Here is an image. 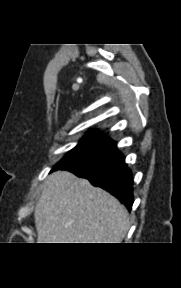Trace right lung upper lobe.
<instances>
[{
	"instance_id": "1",
	"label": "right lung upper lobe",
	"mask_w": 181,
	"mask_h": 288,
	"mask_svg": "<svg viewBox=\"0 0 181 288\" xmlns=\"http://www.w3.org/2000/svg\"><path fill=\"white\" fill-rule=\"evenodd\" d=\"M80 142L113 152L115 157L121 156L117 150L116 143L100 134L98 130L87 133Z\"/></svg>"
}]
</instances>
